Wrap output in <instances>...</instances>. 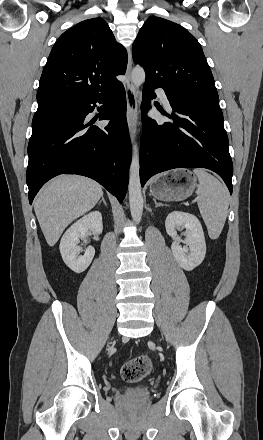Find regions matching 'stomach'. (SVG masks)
Returning a JSON list of instances; mask_svg holds the SVG:
<instances>
[{"label":"stomach","mask_w":263,"mask_h":440,"mask_svg":"<svg viewBox=\"0 0 263 440\" xmlns=\"http://www.w3.org/2000/svg\"><path fill=\"white\" fill-rule=\"evenodd\" d=\"M197 178L191 171L176 169L155 177L150 183V193L161 201H181L192 195Z\"/></svg>","instance_id":"1"}]
</instances>
